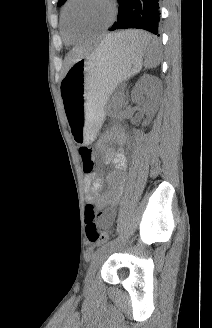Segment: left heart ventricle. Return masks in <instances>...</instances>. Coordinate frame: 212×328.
Here are the masks:
<instances>
[{
    "label": "left heart ventricle",
    "mask_w": 212,
    "mask_h": 328,
    "mask_svg": "<svg viewBox=\"0 0 212 328\" xmlns=\"http://www.w3.org/2000/svg\"><path fill=\"white\" fill-rule=\"evenodd\" d=\"M111 17L106 0H75L68 10L70 26L74 31H87L104 26Z\"/></svg>",
    "instance_id": "1"
}]
</instances>
